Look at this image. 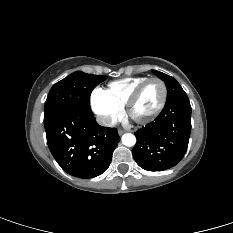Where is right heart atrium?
Returning a JSON list of instances; mask_svg holds the SVG:
<instances>
[{
	"label": "right heart atrium",
	"mask_w": 233,
	"mask_h": 233,
	"mask_svg": "<svg viewBox=\"0 0 233 233\" xmlns=\"http://www.w3.org/2000/svg\"><path fill=\"white\" fill-rule=\"evenodd\" d=\"M90 105L98 121L107 127L113 126L123 115V107L111 101L99 88L92 91Z\"/></svg>",
	"instance_id": "d8ad5b80"
}]
</instances>
